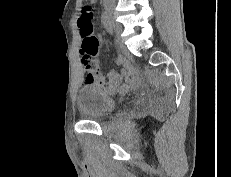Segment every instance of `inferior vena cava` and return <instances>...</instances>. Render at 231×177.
I'll return each instance as SVG.
<instances>
[{"instance_id": "obj_1", "label": "inferior vena cava", "mask_w": 231, "mask_h": 177, "mask_svg": "<svg viewBox=\"0 0 231 177\" xmlns=\"http://www.w3.org/2000/svg\"><path fill=\"white\" fill-rule=\"evenodd\" d=\"M105 2H115V0H104Z\"/></svg>"}]
</instances>
